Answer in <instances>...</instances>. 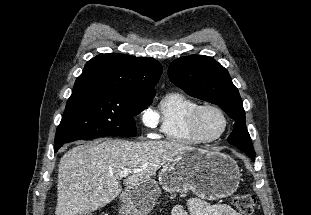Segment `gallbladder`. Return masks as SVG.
Wrapping results in <instances>:
<instances>
[{"label":"gallbladder","instance_id":"obj_1","mask_svg":"<svg viewBox=\"0 0 311 215\" xmlns=\"http://www.w3.org/2000/svg\"><path fill=\"white\" fill-rule=\"evenodd\" d=\"M82 215H92L91 213H85V214H82Z\"/></svg>","mask_w":311,"mask_h":215}]
</instances>
